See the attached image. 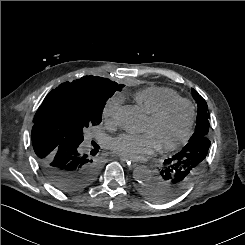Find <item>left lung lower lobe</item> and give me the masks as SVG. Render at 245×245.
<instances>
[{"label":"left lung lower lobe","mask_w":245,"mask_h":245,"mask_svg":"<svg viewBox=\"0 0 245 245\" xmlns=\"http://www.w3.org/2000/svg\"><path fill=\"white\" fill-rule=\"evenodd\" d=\"M210 140L201 137L164 161L159 174L139 187L140 192L156 202H166L181 194L200 172L207 156Z\"/></svg>","instance_id":"left-lung-lower-lobe-1"}]
</instances>
